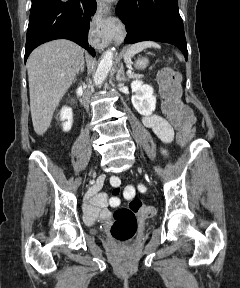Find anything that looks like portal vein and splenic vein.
Masks as SVG:
<instances>
[{
	"label": "portal vein and splenic vein",
	"instance_id": "portal-vein-and-splenic-vein-1",
	"mask_svg": "<svg viewBox=\"0 0 240 288\" xmlns=\"http://www.w3.org/2000/svg\"><path fill=\"white\" fill-rule=\"evenodd\" d=\"M127 73H128V74H131V71H128Z\"/></svg>",
	"mask_w": 240,
	"mask_h": 288
}]
</instances>
